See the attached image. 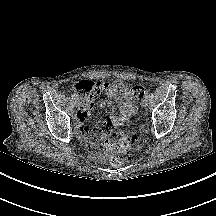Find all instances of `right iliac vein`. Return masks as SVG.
<instances>
[{
    "mask_svg": "<svg viewBox=\"0 0 216 216\" xmlns=\"http://www.w3.org/2000/svg\"><path fill=\"white\" fill-rule=\"evenodd\" d=\"M73 103H74V106H75V107H79V105H80V103H79L78 100H74Z\"/></svg>",
    "mask_w": 216,
    "mask_h": 216,
    "instance_id": "1",
    "label": "right iliac vein"
}]
</instances>
